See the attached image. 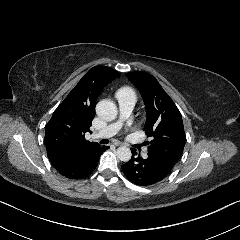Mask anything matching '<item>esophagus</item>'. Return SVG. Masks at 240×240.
I'll return each instance as SVG.
<instances>
[{
    "label": "esophagus",
    "instance_id": "obj_1",
    "mask_svg": "<svg viewBox=\"0 0 240 240\" xmlns=\"http://www.w3.org/2000/svg\"><path fill=\"white\" fill-rule=\"evenodd\" d=\"M121 145H126L125 143H122V142H117L116 143V146H121Z\"/></svg>",
    "mask_w": 240,
    "mask_h": 240
}]
</instances>
